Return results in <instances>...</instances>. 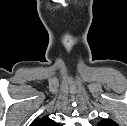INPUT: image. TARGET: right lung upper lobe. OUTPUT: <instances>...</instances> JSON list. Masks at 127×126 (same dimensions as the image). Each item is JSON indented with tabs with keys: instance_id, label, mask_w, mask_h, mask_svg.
<instances>
[{
	"instance_id": "cb5924a9",
	"label": "right lung upper lobe",
	"mask_w": 127,
	"mask_h": 126,
	"mask_svg": "<svg viewBox=\"0 0 127 126\" xmlns=\"http://www.w3.org/2000/svg\"><path fill=\"white\" fill-rule=\"evenodd\" d=\"M30 126H59L55 121L51 120L47 116L36 119Z\"/></svg>"
}]
</instances>
